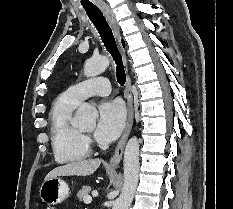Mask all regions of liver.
Here are the masks:
<instances>
[{
  "label": "liver",
  "mask_w": 233,
  "mask_h": 209,
  "mask_svg": "<svg viewBox=\"0 0 233 209\" xmlns=\"http://www.w3.org/2000/svg\"><path fill=\"white\" fill-rule=\"evenodd\" d=\"M100 164V159L71 162L51 170L45 180L58 176H88L93 174Z\"/></svg>",
  "instance_id": "1"
}]
</instances>
